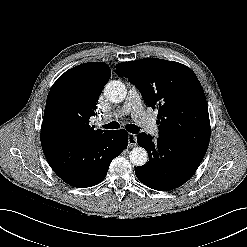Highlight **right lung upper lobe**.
I'll list each match as a JSON object with an SVG mask.
<instances>
[{"label": "right lung upper lobe", "instance_id": "cb5924a9", "mask_svg": "<svg viewBox=\"0 0 247 247\" xmlns=\"http://www.w3.org/2000/svg\"><path fill=\"white\" fill-rule=\"evenodd\" d=\"M111 76L103 62H88L69 69L51 87L44 111L42 134L72 144H84L106 131L89 125L99 96Z\"/></svg>", "mask_w": 247, "mask_h": 247}]
</instances>
